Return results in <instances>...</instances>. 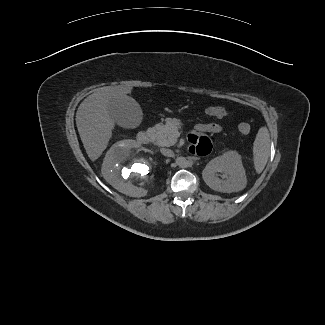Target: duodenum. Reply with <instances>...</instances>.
<instances>
[{"instance_id": "duodenum-1", "label": "duodenum", "mask_w": 325, "mask_h": 325, "mask_svg": "<svg viewBox=\"0 0 325 325\" xmlns=\"http://www.w3.org/2000/svg\"><path fill=\"white\" fill-rule=\"evenodd\" d=\"M154 137V133L152 131H142L137 136V141L140 144H149Z\"/></svg>"}]
</instances>
